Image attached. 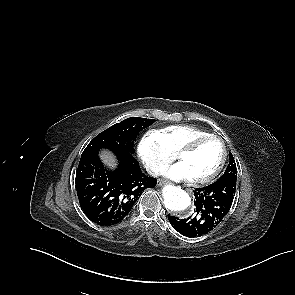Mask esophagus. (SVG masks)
Wrapping results in <instances>:
<instances>
[{
    "mask_svg": "<svg viewBox=\"0 0 295 295\" xmlns=\"http://www.w3.org/2000/svg\"><path fill=\"white\" fill-rule=\"evenodd\" d=\"M164 184H165V181H163V180H159V181H158V185H159V186H163Z\"/></svg>",
    "mask_w": 295,
    "mask_h": 295,
    "instance_id": "34e87169",
    "label": "esophagus"
}]
</instances>
